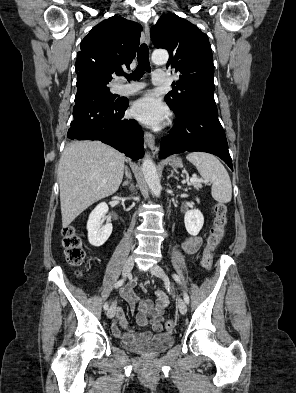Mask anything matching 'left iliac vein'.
<instances>
[{"label": "left iliac vein", "mask_w": 296, "mask_h": 393, "mask_svg": "<svg viewBox=\"0 0 296 393\" xmlns=\"http://www.w3.org/2000/svg\"><path fill=\"white\" fill-rule=\"evenodd\" d=\"M150 272L153 275L163 279V281L165 283L169 282V279L167 278L163 268L161 266H159L158 264H154L152 266V268L150 269ZM177 303H178V308H179L180 313L183 314V315L186 314V312H187V305L184 302V300L181 299V298H178V302Z\"/></svg>", "instance_id": "4c4485c4"}]
</instances>
